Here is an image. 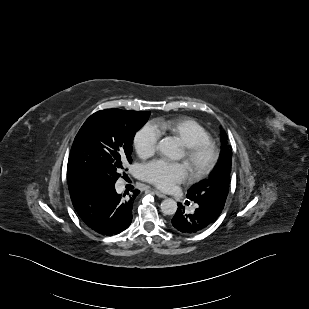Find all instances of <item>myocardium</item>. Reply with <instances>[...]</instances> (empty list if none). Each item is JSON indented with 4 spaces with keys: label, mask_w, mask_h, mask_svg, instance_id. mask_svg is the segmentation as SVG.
<instances>
[{
    "label": "myocardium",
    "mask_w": 309,
    "mask_h": 309,
    "mask_svg": "<svg viewBox=\"0 0 309 309\" xmlns=\"http://www.w3.org/2000/svg\"><path fill=\"white\" fill-rule=\"evenodd\" d=\"M185 156L194 179L210 174L219 160V150L211 141L197 142L185 146Z\"/></svg>",
    "instance_id": "myocardium-1"
}]
</instances>
